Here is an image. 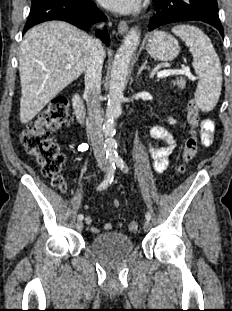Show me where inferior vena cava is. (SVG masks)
Listing matches in <instances>:
<instances>
[{"label":"inferior vena cava","instance_id":"obj_1","mask_svg":"<svg viewBox=\"0 0 232 311\" xmlns=\"http://www.w3.org/2000/svg\"><path fill=\"white\" fill-rule=\"evenodd\" d=\"M99 25L98 27H100ZM87 63L85 69V97L89 116V136L94 156L99 166L108 165L102 132L100 91L104 50L99 39L89 37L86 41Z\"/></svg>","mask_w":232,"mask_h":311}]
</instances>
